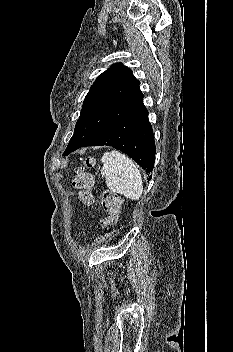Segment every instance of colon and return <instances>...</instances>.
I'll use <instances>...</instances> for the list:
<instances>
[{"label": "colon", "mask_w": 233, "mask_h": 352, "mask_svg": "<svg viewBox=\"0 0 233 352\" xmlns=\"http://www.w3.org/2000/svg\"><path fill=\"white\" fill-rule=\"evenodd\" d=\"M95 163V158L91 156L86 157L83 164L76 167L73 172L72 185L80 192L81 199L86 204L91 203L93 200L90 192L93 187V177L86 171V168L93 167ZM101 204L107 214V216L101 220V226L108 228L115 225L118 221L122 204L120 197L114 191L105 189L101 194Z\"/></svg>", "instance_id": "obj_1"}]
</instances>
